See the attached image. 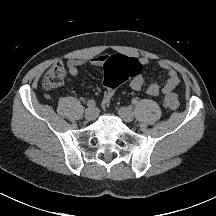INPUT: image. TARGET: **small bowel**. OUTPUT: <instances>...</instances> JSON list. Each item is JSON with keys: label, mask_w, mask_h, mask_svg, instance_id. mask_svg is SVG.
Returning <instances> with one entry per match:
<instances>
[{"label": "small bowel", "mask_w": 216, "mask_h": 216, "mask_svg": "<svg viewBox=\"0 0 216 216\" xmlns=\"http://www.w3.org/2000/svg\"><path fill=\"white\" fill-rule=\"evenodd\" d=\"M119 56L120 55L103 54L86 60H69L67 62V70L70 75L76 76L79 72V67L83 64H89L93 67H104L109 60ZM130 59L138 62L142 66H145L149 63V59L146 57H130ZM158 65L162 70L165 71L166 79L161 84L153 82L147 86L146 92L153 97H158L161 94L170 93L178 88L181 84L176 70L170 65L169 62L161 60L158 62ZM144 85L145 81L141 75H136L129 83V87L134 91H140L144 87Z\"/></svg>", "instance_id": "obj_1"}]
</instances>
